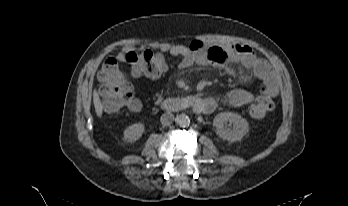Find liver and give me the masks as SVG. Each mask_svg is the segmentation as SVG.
Instances as JSON below:
<instances>
[{
  "mask_svg": "<svg viewBox=\"0 0 348 206\" xmlns=\"http://www.w3.org/2000/svg\"><path fill=\"white\" fill-rule=\"evenodd\" d=\"M93 103H94L95 112H96L97 116L101 117L102 112H103V105H102V102L100 100L99 94L96 90L93 93Z\"/></svg>",
  "mask_w": 348,
  "mask_h": 206,
  "instance_id": "1",
  "label": "liver"
}]
</instances>
